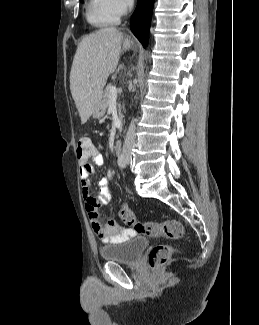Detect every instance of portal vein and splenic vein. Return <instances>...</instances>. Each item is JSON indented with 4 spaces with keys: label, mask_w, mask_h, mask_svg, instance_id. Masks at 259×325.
Segmentation results:
<instances>
[{
    "label": "portal vein and splenic vein",
    "mask_w": 259,
    "mask_h": 325,
    "mask_svg": "<svg viewBox=\"0 0 259 325\" xmlns=\"http://www.w3.org/2000/svg\"><path fill=\"white\" fill-rule=\"evenodd\" d=\"M117 97V88L116 86H111L110 88V100H115Z\"/></svg>",
    "instance_id": "1"
}]
</instances>
